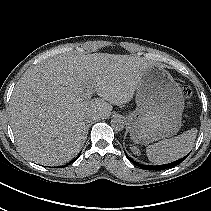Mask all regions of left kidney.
Instances as JSON below:
<instances>
[{"mask_svg":"<svg viewBox=\"0 0 211 211\" xmlns=\"http://www.w3.org/2000/svg\"><path fill=\"white\" fill-rule=\"evenodd\" d=\"M131 150H132V152H133L135 155H139V154H140L139 150H138L136 147H131Z\"/></svg>","mask_w":211,"mask_h":211,"instance_id":"obj_1","label":"left kidney"}]
</instances>
